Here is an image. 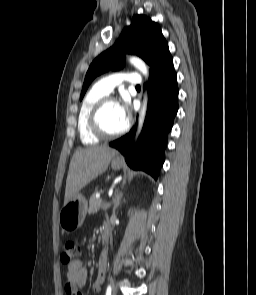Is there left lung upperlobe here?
<instances>
[{"label": "left lung upper lobe", "instance_id": "left-lung-upper-lobe-1", "mask_svg": "<svg viewBox=\"0 0 256 295\" xmlns=\"http://www.w3.org/2000/svg\"><path fill=\"white\" fill-rule=\"evenodd\" d=\"M126 53L136 54L150 65V76L173 63L168 43L160 27L144 15H136L131 25L124 28L115 44L101 53L90 65L80 100L96 76L123 66Z\"/></svg>", "mask_w": 256, "mask_h": 295}]
</instances>
